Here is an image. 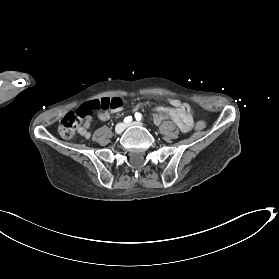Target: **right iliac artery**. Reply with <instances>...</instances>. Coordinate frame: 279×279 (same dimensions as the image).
<instances>
[{
	"mask_svg": "<svg viewBox=\"0 0 279 279\" xmlns=\"http://www.w3.org/2000/svg\"><path fill=\"white\" fill-rule=\"evenodd\" d=\"M132 121V117L131 116H128L124 119V122L125 123H130Z\"/></svg>",
	"mask_w": 279,
	"mask_h": 279,
	"instance_id": "right-iliac-artery-1",
	"label": "right iliac artery"
}]
</instances>
